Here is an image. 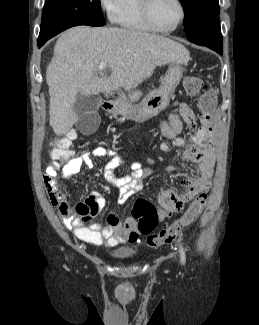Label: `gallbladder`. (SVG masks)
Masks as SVG:
<instances>
[{"label": "gallbladder", "instance_id": "bac80fb5", "mask_svg": "<svg viewBox=\"0 0 259 325\" xmlns=\"http://www.w3.org/2000/svg\"><path fill=\"white\" fill-rule=\"evenodd\" d=\"M74 111L80 116L77 127L83 136H92L93 132L100 125V116L98 114V99L90 95L84 96L78 94L73 106Z\"/></svg>", "mask_w": 259, "mask_h": 325}]
</instances>
